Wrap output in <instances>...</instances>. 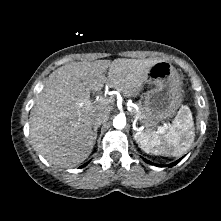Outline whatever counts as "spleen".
Wrapping results in <instances>:
<instances>
[{
	"instance_id": "spleen-1",
	"label": "spleen",
	"mask_w": 221,
	"mask_h": 221,
	"mask_svg": "<svg viewBox=\"0 0 221 221\" xmlns=\"http://www.w3.org/2000/svg\"><path fill=\"white\" fill-rule=\"evenodd\" d=\"M194 136L192 113L187 106H183L165 134L147 130L137 132L134 138L146 153L177 157L191 147Z\"/></svg>"
}]
</instances>
